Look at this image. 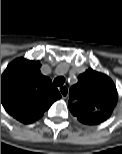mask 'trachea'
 <instances>
[{
    "label": "trachea",
    "mask_w": 122,
    "mask_h": 154,
    "mask_svg": "<svg viewBox=\"0 0 122 154\" xmlns=\"http://www.w3.org/2000/svg\"><path fill=\"white\" fill-rule=\"evenodd\" d=\"M65 83V78L60 76L54 79L55 86H62Z\"/></svg>",
    "instance_id": "1"
}]
</instances>
